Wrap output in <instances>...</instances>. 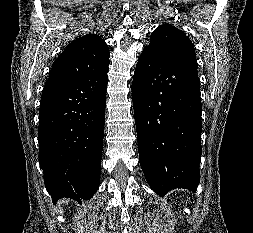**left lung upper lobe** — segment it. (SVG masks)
<instances>
[{
  "label": "left lung upper lobe",
  "mask_w": 253,
  "mask_h": 233,
  "mask_svg": "<svg viewBox=\"0 0 253 233\" xmlns=\"http://www.w3.org/2000/svg\"><path fill=\"white\" fill-rule=\"evenodd\" d=\"M147 48L163 60L190 63L197 67L194 45L183 31L169 24L159 26L150 37Z\"/></svg>",
  "instance_id": "obj_1"
}]
</instances>
